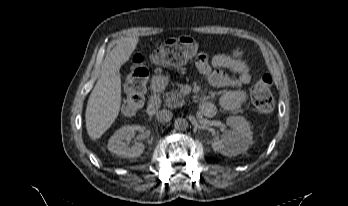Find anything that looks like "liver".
Here are the masks:
<instances>
[{
  "label": "liver",
  "instance_id": "6515ba94",
  "mask_svg": "<svg viewBox=\"0 0 348 206\" xmlns=\"http://www.w3.org/2000/svg\"><path fill=\"white\" fill-rule=\"evenodd\" d=\"M138 37H125L106 55L100 76L88 99L85 120L92 140L99 139L116 120L121 106L120 68L138 44Z\"/></svg>",
  "mask_w": 348,
  "mask_h": 206
}]
</instances>
